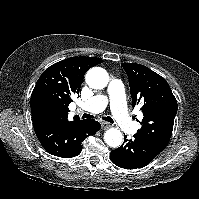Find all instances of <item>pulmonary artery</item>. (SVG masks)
<instances>
[{
	"label": "pulmonary artery",
	"mask_w": 199,
	"mask_h": 199,
	"mask_svg": "<svg viewBox=\"0 0 199 199\" xmlns=\"http://www.w3.org/2000/svg\"><path fill=\"white\" fill-rule=\"evenodd\" d=\"M106 92V95H96L83 102L80 105L81 110L90 113H99L109 103L113 118L121 129L128 133L135 132L137 126L126 107L123 83L118 79H112L108 84Z\"/></svg>",
	"instance_id": "pulmonary-artery-1"
}]
</instances>
